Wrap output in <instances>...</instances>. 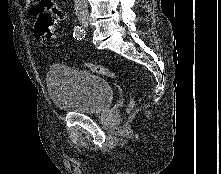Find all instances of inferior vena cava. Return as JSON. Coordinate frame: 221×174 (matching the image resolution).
Wrapping results in <instances>:
<instances>
[{
    "label": "inferior vena cava",
    "instance_id": "1",
    "mask_svg": "<svg viewBox=\"0 0 221 174\" xmlns=\"http://www.w3.org/2000/svg\"><path fill=\"white\" fill-rule=\"evenodd\" d=\"M74 7L78 17L88 16V6L86 0H74Z\"/></svg>",
    "mask_w": 221,
    "mask_h": 174
}]
</instances>
